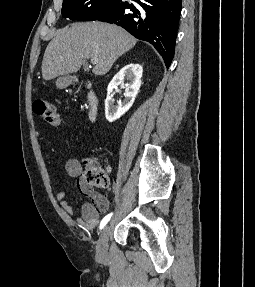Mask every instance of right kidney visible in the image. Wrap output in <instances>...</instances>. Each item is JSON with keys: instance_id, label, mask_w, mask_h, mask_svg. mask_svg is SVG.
<instances>
[{"instance_id": "ca27d5eb", "label": "right kidney", "mask_w": 255, "mask_h": 287, "mask_svg": "<svg viewBox=\"0 0 255 287\" xmlns=\"http://www.w3.org/2000/svg\"><path fill=\"white\" fill-rule=\"evenodd\" d=\"M142 72V66H139V64H127L111 80L107 88V98L105 100V116L108 122H115V120L121 118L131 108L141 86ZM125 80H128V84H124ZM120 84L126 86L125 100L124 102H118V106H114L115 100H113L112 92Z\"/></svg>"}]
</instances>
